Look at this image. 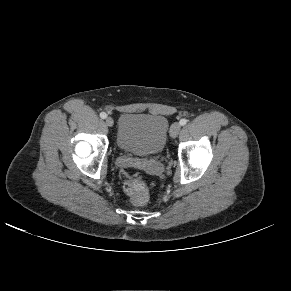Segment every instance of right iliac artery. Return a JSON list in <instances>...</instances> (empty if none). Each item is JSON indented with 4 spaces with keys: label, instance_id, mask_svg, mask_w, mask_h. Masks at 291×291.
<instances>
[{
    "label": "right iliac artery",
    "instance_id": "1",
    "mask_svg": "<svg viewBox=\"0 0 291 291\" xmlns=\"http://www.w3.org/2000/svg\"><path fill=\"white\" fill-rule=\"evenodd\" d=\"M100 117H101L102 119H105V118L107 117V114H106L105 112H101V113H100Z\"/></svg>",
    "mask_w": 291,
    "mask_h": 291
}]
</instances>
